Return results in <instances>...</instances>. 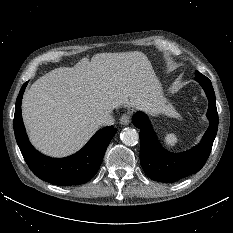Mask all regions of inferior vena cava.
<instances>
[{"mask_svg": "<svg viewBox=\"0 0 233 233\" xmlns=\"http://www.w3.org/2000/svg\"><path fill=\"white\" fill-rule=\"evenodd\" d=\"M97 124L99 126H110L114 124V118L110 113H105L97 119Z\"/></svg>", "mask_w": 233, "mask_h": 233, "instance_id": "obj_1", "label": "inferior vena cava"}]
</instances>
